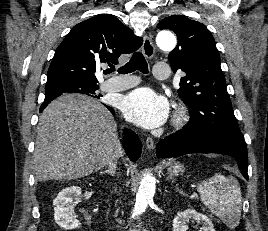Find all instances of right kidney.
Returning <instances> with one entry per match:
<instances>
[{
  "label": "right kidney",
  "instance_id": "obj_1",
  "mask_svg": "<svg viewBox=\"0 0 268 231\" xmlns=\"http://www.w3.org/2000/svg\"><path fill=\"white\" fill-rule=\"evenodd\" d=\"M80 194V187L70 186L63 189L53 202L54 219L56 223L65 230H73L80 227V222L72 216L71 212L73 198Z\"/></svg>",
  "mask_w": 268,
  "mask_h": 231
}]
</instances>
